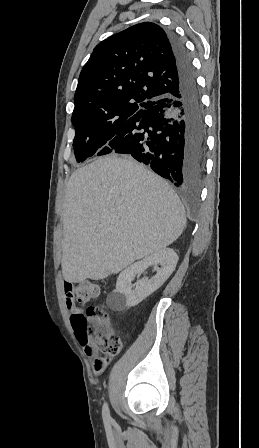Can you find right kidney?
<instances>
[{
    "label": "right kidney",
    "instance_id": "right-kidney-1",
    "mask_svg": "<svg viewBox=\"0 0 259 448\" xmlns=\"http://www.w3.org/2000/svg\"><path fill=\"white\" fill-rule=\"evenodd\" d=\"M179 258L171 248H163V250H158L156 254H151L148 258H144L141 262H135L126 270H123L117 278L116 290H113L111 294H108L107 306L115 312H121V310H126V308H132V306H137L140 304L144 298L153 294L155 290H158L160 286H163L167 278L171 276L176 268V264ZM161 266L159 272L156 276H153L151 280L143 278L135 284L136 288L132 290L136 274H142L145 272L149 266Z\"/></svg>",
    "mask_w": 259,
    "mask_h": 448
}]
</instances>
